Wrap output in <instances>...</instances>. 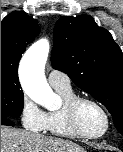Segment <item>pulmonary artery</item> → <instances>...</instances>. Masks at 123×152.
I'll return each instance as SVG.
<instances>
[{"label": "pulmonary artery", "instance_id": "pulmonary-artery-1", "mask_svg": "<svg viewBox=\"0 0 123 152\" xmlns=\"http://www.w3.org/2000/svg\"><path fill=\"white\" fill-rule=\"evenodd\" d=\"M48 82L53 88L70 89L71 81L67 74L59 70H51L48 74Z\"/></svg>", "mask_w": 123, "mask_h": 152}]
</instances>
